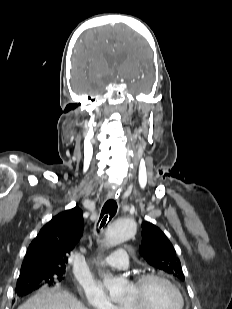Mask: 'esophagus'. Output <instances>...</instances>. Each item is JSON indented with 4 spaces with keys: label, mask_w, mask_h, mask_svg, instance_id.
<instances>
[{
    "label": "esophagus",
    "mask_w": 232,
    "mask_h": 309,
    "mask_svg": "<svg viewBox=\"0 0 232 309\" xmlns=\"http://www.w3.org/2000/svg\"><path fill=\"white\" fill-rule=\"evenodd\" d=\"M108 197H109V198H112L113 196H112V195H109Z\"/></svg>",
    "instance_id": "esophagus-1"
}]
</instances>
